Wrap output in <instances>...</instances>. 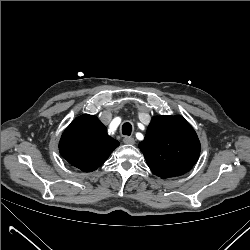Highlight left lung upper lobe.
<instances>
[{"label":"left lung upper lobe","instance_id":"5c2ea615","mask_svg":"<svg viewBox=\"0 0 250 250\" xmlns=\"http://www.w3.org/2000/svg\"><path fill=\"white\" fill-rule=\"evenodd\" d=\"M139 148L151 171L163 179L185 174L200 155L198 136L180 115L153 117Z\"/></svg>","mask_w":250,"mask_h":250}]
</instances>
